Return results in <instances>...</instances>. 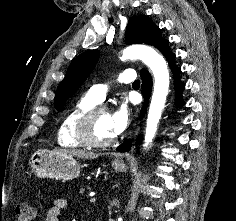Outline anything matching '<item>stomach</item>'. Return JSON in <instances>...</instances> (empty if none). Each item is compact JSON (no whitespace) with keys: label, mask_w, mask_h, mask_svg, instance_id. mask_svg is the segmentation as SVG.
<instances>
[{"label":"stomach","mask_w":236,"mask_h":221,"mask_svg":"<svg viewBox=\"0 0 236 221\" xmlns=\"http://www.w3.org/2000/svg\"><path fill=\"white\" fill-rule=\"evenodd\" d=\"M32 172L39 178H55L64 181L79 176L80 164L71 155L58 152L39 150L34 153L29 162ZM112 167L116 172H125L127 166L123 161H113Z\"/></svg>","instance_id":"0dacf381"}]
</instances>
